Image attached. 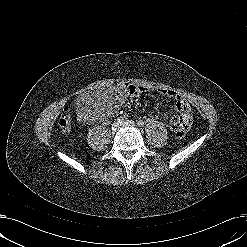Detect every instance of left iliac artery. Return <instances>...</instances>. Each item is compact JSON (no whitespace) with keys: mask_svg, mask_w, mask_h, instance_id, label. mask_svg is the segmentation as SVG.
I'll use <instances>...</instances> for the list:
<instances>
[{"mask_svg":"<svg viewBox=\"0 0 247 247\" xmlns=\"http://www.w3.org/2000/svg\"><path fill=\"white\" fill-rule=\"evenodd\" d=\"M137 124L139 127H142L144 125V123L142 121H139Z\"/></svg>","mask_w":247,"mask_h":247,"instance_id":"1","label":"left iliac artery"}]
</instances>
